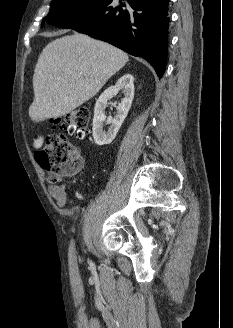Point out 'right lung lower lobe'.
I'll list each match as a JSON object with an SVG mask.
<instances>
[{"label":"right lung lower lobe","instance_id":"right-lung-lower-lobe-1","mask_svg":"<svg viewBox=\"0 0 233 328\" xmlns=\"http://www.w3.org/2000/svg\"><path fill=\"white\" fill-rule=\"evenodd\" d=\"M169 0H97L52 25L90 35L145 58L163 76Z\"/></svg>","mask_w":233,"mask_h":328}]
</instances>
